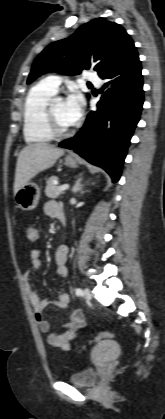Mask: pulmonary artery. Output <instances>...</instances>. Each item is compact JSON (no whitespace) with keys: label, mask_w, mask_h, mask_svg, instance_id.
I'll return each mask as SVG.
<instances>
[{"label":"pulmonary artery","mask_w":165,"mask_h":419,"mask_svg":"<svg viewBox=\"0 0 165 419\" xmlns=\"http://www.w3.org/2000/svg\"><path fill=\"white\" fill-rule=\"evenodd\" d=\"M86 81L93 83L95 85H100L101 84V79L99 78V76L93 72H88L85 76ZM42 83L51 91H53L54 93L57 92L60 84H61V79L59 76L57 75H50L48 77H46Z\"/></svg>","instance_id":"pulmonary-artery-1"}]
</instances>
